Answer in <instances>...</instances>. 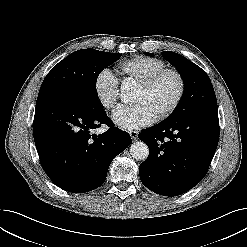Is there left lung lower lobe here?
<instances>
[{"label": "left lung lower lobe", "mask_w": 247, "mask_h": 247, "mask_svg": "<svg viewBox=\"0 0 247 247\" xmlns=\"http://www.w3.org/2000/svg\"><path fill=\"white\" fill-rule=\"evenodd\" d=\"M149 146L139 166L142 183L164 196H177L197 185L206 175L219 140L217 111H201L141 130Z\"/></svg>", "instance_id": "0a47b994"}]
</instances>
